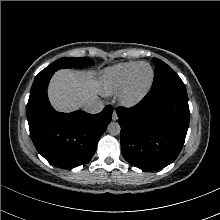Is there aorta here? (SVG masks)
I'll return each instance as SVG.
<instances>
[{"instance_id": "obj_1", "label": "aorta", "mask_w": 220, "mask_h": 220, "mask_svg": "<svg viewBox=\"0 0 220 220\" xmlns=\"http://www.w3.org/2000/svg\"><path fill=\"white\" fill-rule=\"evenodd\" d=\"M107 129L111 135H118V134H120V131H121V127L118 122H111L108 125Z\"/></svg>"}]
</instances>
